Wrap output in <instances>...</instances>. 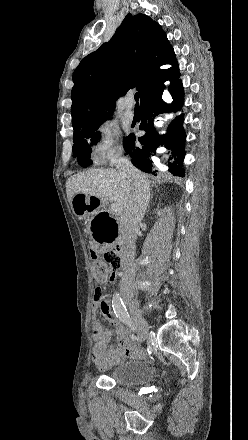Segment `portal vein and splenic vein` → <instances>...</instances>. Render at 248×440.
<instances>
[{"label": "portal vein and splenic vein", "instance_id": "obj_1", "mask_svg": "<svg viewBox=\"0 0 248 440\" xmlns=\"http://www.w3.org/2000/svg\"><path fill=\"white\" fill-rule=\"evenodd\" d=\"M110 209L115 213H120L123 211V207L119 203H112Z\"/></svg>", "mask_w": 248, "mask_h": 440}]
</instances>
